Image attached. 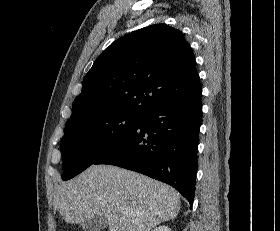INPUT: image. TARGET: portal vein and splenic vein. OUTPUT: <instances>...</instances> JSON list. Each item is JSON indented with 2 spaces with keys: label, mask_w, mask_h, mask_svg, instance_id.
Returning <instances> with one entry per match:
<instances>
[{
  "label": "portal vein and splenic vein",
  "mask_w": 280,
  "mask_h": 231,
  "mask_svg": "<svg viewBox=\"0 0 280 231\" xmlns=\"http://www.w3.org/2000/svg\"><path fill=\"white\" fill-rule=\"evenodd\" d=\"M121 213H126V211H124V209H121Z\"/></svg>",
  "instance_id": "18ae733b"
}]
</instances>
